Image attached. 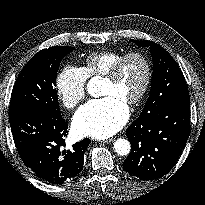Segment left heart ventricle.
<instances>
[{
    "instance_id": "1",
    "label": "left heart ventricle",
    "mask_w": 205,
    "mask_h": 205,
    "mask_svg": "<svg viewBox=\"0 0 205 205\" xmlns=\"http://www.w3.org/2000/svg\"><path fill=\"white\" fill-rule=\"evenodd\" d=\"M145 78V66L137 58H131L124 64L115 82L104 80L101 96H115L127 103L140 91Z\"/></svg>"
}]
</instances>
